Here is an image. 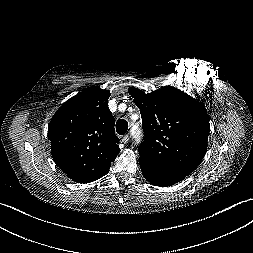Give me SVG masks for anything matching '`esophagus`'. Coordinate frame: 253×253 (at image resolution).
Returning a JSON list of instances; mask_svg holds the SVG:
<instances>
[{"instance_id":"esophagus-1","label":"esophagus","mask_w":253,"mask_h":253,"mask_svg":"<svg viewBox=\"0 0 253 253\" xmlns=\"http://www.w3.org/2000/svg\"><path fill=\"white\" fill-rule=\"evenodd\" d=\"M129 139H130L129 135H125L122 137L121 141L122 143L126 144L129 142Z\"/></svg>"}]
</instances>
